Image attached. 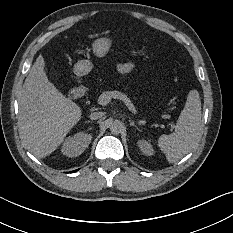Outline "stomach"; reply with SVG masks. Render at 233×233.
<instances>
[{"label":"stomach","instance_id":"0dacf381","mask_svg":"<svg viewBox=\"0 0 233 233\" xmlns=\"http://www.w3.org/2000/svg\"><path fill=\"white\" fill-rule=\"evenodd\" d=\"M109 45V41L105 38H102L94 43L93 50L97 56H102L109 49ZM91 67L92 65L89 61H80L79 63H77L74 69L76 74L81 77L88 74L91 70Z\"/></svg>","mask_w":233,"mask_h":233}]
</instances>
